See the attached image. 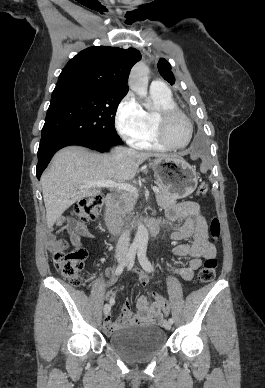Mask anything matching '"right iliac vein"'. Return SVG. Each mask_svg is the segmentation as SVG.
Here are the masks:
<instances>
[{
  "label": "right iliac vein",
  "mask_w": 265,
  "mask_h": 388,
  "mask_svg": "<svg viewBox=\"0 0 265 388\" xmlns=\"http://www.w3.org/2000/svg\"><path fill=\"white\" fill-rule=\"evenodd\" d=\"M118 262H119L120 264L125 263V256H124V255L119 256V257H118ZM110 309H111L110 304H106V305L104 306L103 312H104V315H105V316H107V315L109 314Z\"/></svg>",
  "instance_id": "right-iliac-vein-1"
}]
</instances>
